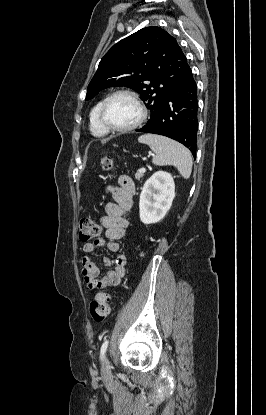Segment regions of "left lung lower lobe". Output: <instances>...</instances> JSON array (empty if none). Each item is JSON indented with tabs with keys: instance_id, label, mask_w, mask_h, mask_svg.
<instances>
[{
	"instance_id": "0a47b994",
	"label": "left lung lower lobe",
	"mask_w": 266,
	"mask_h": 415,
	"mask_svg": "<svg viewBox=\"0 0 266 415\" xmlns=\"http://www.w3.org/2000/svg\"><path fill=\"white\" fill-rule=\"evenodd\" d=\"M197 114V85L192 70L187 65L180 82L172 90L158 114L136 131L159 134L174 139L186 146L195 158L198 131Z\"/></svg>"
}]
</instances>
